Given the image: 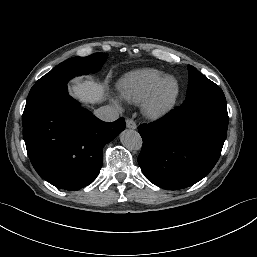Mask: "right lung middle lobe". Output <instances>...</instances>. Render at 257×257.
Wrapping results in <instances>:
<instances>
[{"label": "right lung middle lobe", "instance_id": "dd1d6c3e", "mask_svg": "<svg viewBox=\"0 0 257 257\" xmlns=\"http://www.w3.org/2000/svg\"><path fill=\"white\" fill-rule=\"evenodd\" d=\"M107 56L105 53H95L87 57L67 59L40 78L36 84L51 82L63 77L72 78L74 76L87 75L93 71H98L104 64Z\"/></svg>", "mask_w": 257, "mask_h": 257}]
</instances>
